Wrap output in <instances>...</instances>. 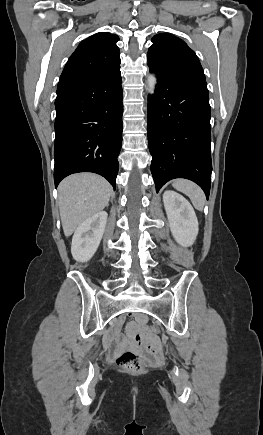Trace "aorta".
<instances>
[{
    "mask_svg": "<svg viewBox=\"0 0 263 435\" xmlns=\"http://www.w3.org/2000/svg\"><path fill=\"white\" fill-rule=\"evenodd\" d=\"M157 79L154 74H149L147 77V84H148V93L150 95H153L155 92Z\"/></svg>",
    "mask_w": 263,
    "mask_h": 435,
    "instance_id": "762f6f07",
    "label": "aorta"
}]
</instances>
